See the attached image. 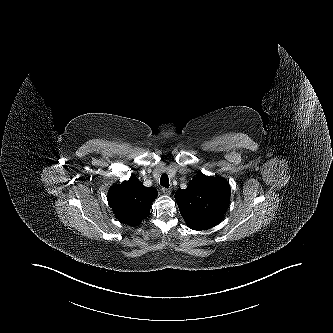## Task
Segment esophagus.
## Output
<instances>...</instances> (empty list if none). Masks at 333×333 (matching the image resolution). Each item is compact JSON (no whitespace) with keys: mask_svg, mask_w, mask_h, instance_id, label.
<instances>
[{"mask_svg":"<svg viewBox=\"0 0 333 333\" xmlns=\"http://www.w3.org/2000/svg\"><path fill=\"white\" fill-rule=\"evenodd\" d=\"M162 192H163L165 195H170L171 192H172V190H171V188H165V187H163V188H162Z\"/></svg>","mask_w":333,"mask_h":333,"instance_id":"1","label":"esophagus"}]
</instances>
